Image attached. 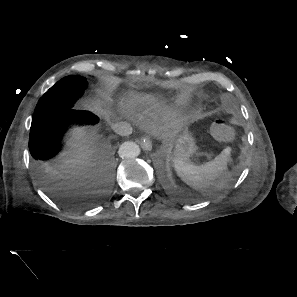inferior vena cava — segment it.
Returning a JSON list of instances; mask_svg holds the SVG:
<instances>
[{
	"mask_svg": "<svg viewBox=\"0 0 297 297\" xmlns=\"http://www.w3.org/2000/svg\"><path fill=\"white\" fill-rule=\"evenodd\" d=\"M112 129L121 136H128L132 133V127L127 122L112 123Z\"/></svg>",
	"mask_w": 297,
	"mask_h": 297,
	"instance_id": "inferior-vena-cava-1",
	"label": "inferior vena cava"
}]
</instances>
